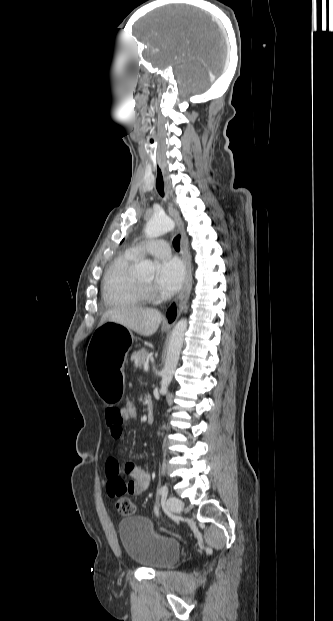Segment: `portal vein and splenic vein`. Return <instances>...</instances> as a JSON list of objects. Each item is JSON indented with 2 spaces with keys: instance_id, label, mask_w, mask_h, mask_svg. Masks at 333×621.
<instances>
[{
  "instance_id": "18ae733b",
  "label": "portal vein and splenic vein",
  "mask_w": 333,
  "mask_h": 621,
  "mask_svg": "<svg viewBox=\"0 0 333 621\" xmlns=\"http://www.w3.org/2000/svg\"><path fill=\"white\" fill-rule=\"evenodd\" d=\"M148 370H149V365H148V363H145L144 364V371H148Z\"/></svg>"
}]
</instances>
